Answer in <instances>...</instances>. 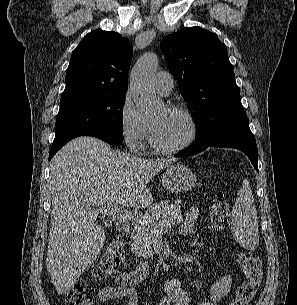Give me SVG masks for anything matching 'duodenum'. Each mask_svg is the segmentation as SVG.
Here are the masks:
<instances>
[{"label": "duodenum", "instance_id": "obj_1", "mask_svg": "<svg viewBox=\"0 0 297 305\" xmlns=\"http://www.w3.org/2000/svg\"><path fill=\"white\" fill-rule=\"evenodd\" d=\"M117 230L119 233L123 236H129L131 229L128 223L126 222H118L116 225ZM135 260H137V257H135Z\"/></svg>", "mask_w": 297, "mask_h": 305}]
</instances>
